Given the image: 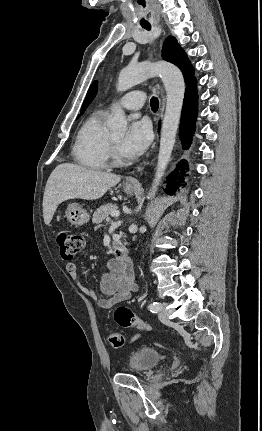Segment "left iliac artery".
<instances>
[{"mask_svg":"<svg viewBox=\"0 0 262 431\" xmlns=\"http://www.w3.org/2000/svg\"><path fill=\"white\" fill-rule=\"evenodd\" d=\"M148 308L151 312H158L161 310L162 305L159 302H152Z\"/></svg>","mask_w":262,"mask_h":431,"instance_id":"left-iliac-artery-1","label":"left iliac artery"}]
</instances>
